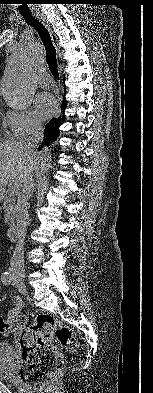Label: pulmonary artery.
<instances>
[{
    "label": "pulmonary artery",
    "mask_w": 153,
    "mask_h": 393,
    "mask_svg": "<svg viewBox=\"0 0 153 393\" xmlns=\"http://www.w3.org/2000/svg\"><path fill=\"white\" fill-rule=\"evenodd\" d=\"M38 83L43 88H48L52 85V78L48 73H42L38 77Z\"/></svg>",
    "instance_id": "1"
}]
</instances>
